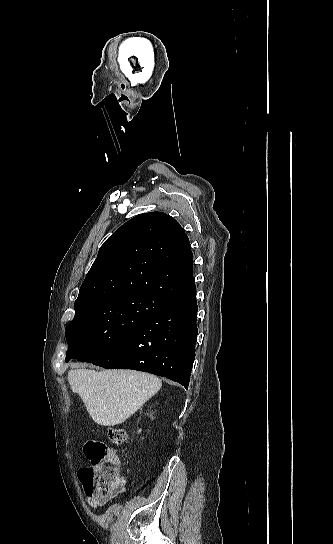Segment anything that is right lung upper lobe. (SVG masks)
<instances>
[{
    "label": "right lung upper lobe",
    "mask_w": 333,
    "mask_h": 544,
    "mask_svg": "<svg viewBox=\"0 0 333 544\" xmlns=\"http://www.w3.org/2000/svg\"><path fill=\"white\" fill-rule=\"evenodd\" d=\"M189 239L171 216L144 213L123 224L101 246L76 302L122 294L166 301L195 289Z\"/></svg>",
    "instance_id": "obj_1"
}]
</instances>
